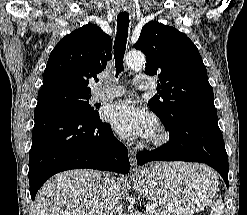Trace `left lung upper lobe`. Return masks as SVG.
I'll list each match as a JSON object with an SVG mask.
<instances>
[{
    "label": "left lung upper lobe",
    "mask_w": 247,
    "mask_h": 215,
    "mask_svg": "<svg viewBox=\"0 0 247 215\" xmlns=\"http://www.w3.org/2000/svg\"><path fill=\"white\" fill-rule=\"evenodd\" d=\"M147 59L145 73L157 75V89L150 109L171 128L194 117L217 118L213 88L197 47L172 26L150 21L134 45Z\"/></svg>",
    "instance_id": "left-lung-upper-lobe-1"
}]
</instances>
